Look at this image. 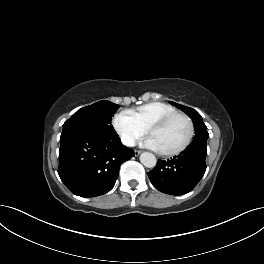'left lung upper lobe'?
Wrapping results in <instances>:
<instances>
[{
    "label": "left lung upper lobe",
    "mask_w": 264,
    "mask_h": 264,
    "mask_svg": "<svg viewBox=\"0 0 264 264\" xmlns=\"http://www.w3.org/2000/svg\"><path fill=\"white\" fill-rule=\"evenodd\" d=\"M170 103L183 110L192 119L195 128V137L191 144L206 145L209 134L206 130L207 127L204 124L201 115L193 108L186 107L171 101Z\"/></svg>",
    "instance_id": "left-lung-upper-lobe-1"
}]
</instances>
